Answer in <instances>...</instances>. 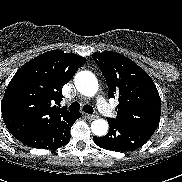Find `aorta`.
<instances>
[{"label": "aorta", "instance_id": "1", "mask_svg": "<svg viewBox=\"0 0 182 182\" xmlns=\"http://www.w3.org/2000/svg\"><path fill=\"white\" fill-rule=\"evenodd\" d=\"M76 89L84 96L92 97L98 91V80L90 71L78 72L74 78ZM108 123L97 119L91 123V130L96 136H104L108 132Z\"/></svg>", "mask_w": 182, "mask_h": 182}]
</instances>
